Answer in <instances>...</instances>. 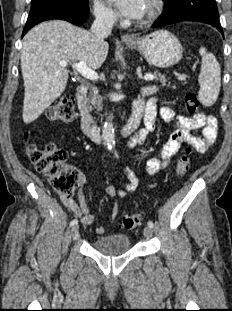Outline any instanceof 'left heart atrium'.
Returning <instances> with one entry per match:
<instances>
[{
    "label": "left heart atrium",
    "instance_id": "1",
    "mask_svg": "<svg viewBox=\"0 0 232 311\" xmlns=\"http://www.w3.org/2000/svg\"><path fill=\"white\" fill-rule=\"evenodd\" d=\"M125 17L141 18L147 9V0H109Z\"/></svg>",
    "mask_w": 232,
    "mask_h": 311
}]
</instances>
